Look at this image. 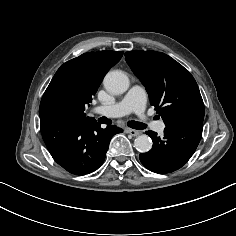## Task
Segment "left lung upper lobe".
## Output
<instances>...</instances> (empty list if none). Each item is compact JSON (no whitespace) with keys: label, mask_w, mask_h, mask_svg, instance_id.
Instances as JSON below:
<instances>
[{"label":"left lung upper lobe","mask_w":236,"mask_h":236,"mask_svg":"<svg viewBox=\"0 0 236 236\" xmlns=\"http://www.w3.org/2000/svg\"><path fill=\"white\" fill-rule=\"evenodd\" d=\"M125 60L145 86L151 105L166 126L203 123L205 111L198 85L181 64L157 51L126 52Z\"/></svg>","instance_id":"left-lung-upper-lobe-1"}]
</instances>
